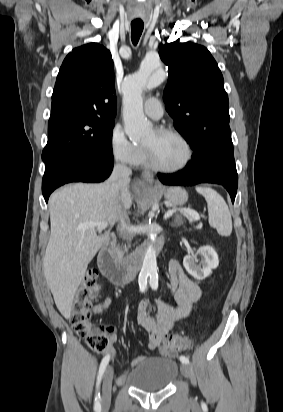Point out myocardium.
<instances>
[{
    "mask_svg": "<svg viewBox=\"0 0 283 412\" xmlns=\"http://www.w3.org/2000/svg\"><path fill=\"white\" fill-rule=\"evenodd\" d=\"M155 131L158 134H168V135H173L176 138H178L185 146L186 157L179 166L171 167V168L162 167L158 165L153 159L150 148L147 145L143 144V151H144L145 160H146L147 165L151 169L158 171V172H163V173H177L187 168L193 158V148L191 146V143L187 139V137L184 134H182L180 131L173 129V128H168V127H159V128H156Z\"/></svg>",
    "mask_w": 283,
    "mask_h": 412,
    "instance_id": "1",
    "label": "myocardium"
}]
</instances>
